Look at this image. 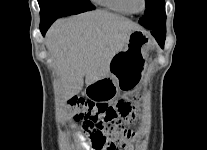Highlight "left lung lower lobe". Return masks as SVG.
I'll use <instances>...</instances> for the list:
<instances>
[{
    "label": "left lung lower lobe",
    "mask_w": 207,
    "mask_h": 150,
    "mask_svg": "<svg viewBox=\"0 0 207 150\" xmlns=\"http://www.w3.org/2000/svg\"><path fill=\"white\" fill-rule=\"evenodd\" d=\"M152 35L157 40L158 44L163 47L165 37H166V29L163 30H151Z\"/></svg>",
    "instance_id": "left-lung-lower-lobe-1"
}]
</instances>
